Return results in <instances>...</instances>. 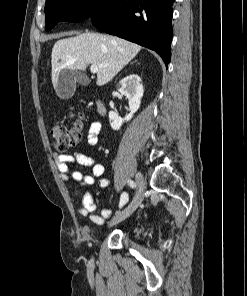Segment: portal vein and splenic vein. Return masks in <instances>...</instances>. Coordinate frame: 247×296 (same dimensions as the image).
Here are the masks:
<instances>
[{"label":"portal vein and splenic vein","mask_w":247,"mask_h":296,"mask_svg":"<svg viewBox=\"0 0 247 296\" xmlns=\"http://www.w3.org/2000/svg\"><path fill=\"white\" fill-rule=\"evenodd\" d=\"M99 67H104L103 65L92 64L90 70L92 73H97Z\"/></svg>","instance_id":"18ae733b"}]
</instances>
